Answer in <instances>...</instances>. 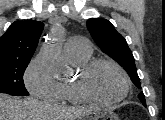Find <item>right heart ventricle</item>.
Returning a JSON list of instances; mask_svg holds the SVG:
<instances>
[{
  "label": "right heart ventricle",
  "instance_id": "1",
  "mask_svg": "<svg viewBox=\"0 0 165 120\" xmlns=\"http://www.w3.org/2000/svg\"><path fill=\"white\" fill-rule=\"evenodd\" d=\"M71 63L79 70L84 64L91 60V53L87 55L67 54ZM59 102L70 104H81L85 100L77 93L75 88V78L60 83V93L57 99Z\"/></svg>",
  "mask_w": 165,
  "mask_h": 120
}]
</instances>
